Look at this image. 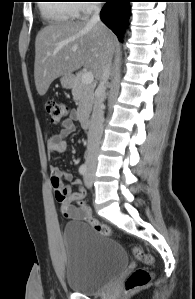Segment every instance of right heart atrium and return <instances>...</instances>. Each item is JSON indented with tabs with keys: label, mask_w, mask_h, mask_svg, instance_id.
Here are the masks:
<instances>
[{
	"label": "right heart atrium",
	"mask_w": 195,
	"mask_h": 299,
	"mask_svg": "<svg viewBox=\"0 0 195 299\" xmlns=\"http://www.w3.org/2000/svg\"><path fill=\"white\" fill-rule=\"evenodd\" d=\"M76 3L75 14L76 15H88L92 11V7L89 5V0H80Z\"/></svg>",
	"instance_id": "d8ad5b80"
}]
</instances>
